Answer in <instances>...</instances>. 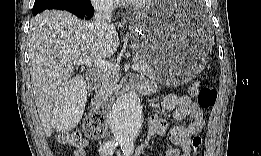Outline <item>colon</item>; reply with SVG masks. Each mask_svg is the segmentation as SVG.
I'll return each instance as SVG.
<instances>
[{"mask_svg":"<svg viewBox=\"0 0 261 156\" xmlns=\"http://www.w3.org/2000/svg\"><path fill=\"white\" fill-rule=\"evenodd\" d=\"M189 94L197 97L198 104L201 108H211L217 99V92L213 87H200L199 82L195 81L189 85ZM85 133L91 138H100L106 133L104 116L101 111L90 114L84 125ZM58 141L64 145L78 148L82 144V134L79 130H70L59 135ZM202 145V137L197 134L192 138L190 148L187 151L188 156L196 154Z\"/></svg>","mask_w":261,"mask_h":156,"instance_id":"5ec220e1","label":"colon"}]
</instances>
